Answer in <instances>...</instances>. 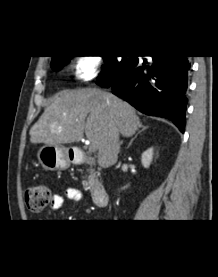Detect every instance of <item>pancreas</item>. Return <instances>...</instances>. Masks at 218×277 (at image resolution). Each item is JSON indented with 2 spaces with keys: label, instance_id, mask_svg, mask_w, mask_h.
<instances>
[{
  "label": "pancreas",
  "instance_id": "pancreas-1",
  "mask_svg": "<svg viewBox=\"0 0 218 277\" xmlns=\"http://www.w3.org/2000/svg\"><path fill=\"white\" fill-rule=\"evenodd\" d=\"M89 176L85 177V180L83 181V185L85 188L89 189L90 186L97 180V175L94 173L93 169H89Z\"/></svg>",
  "mask_w": 218,
  "mask_h": 277
}]
</instances>
